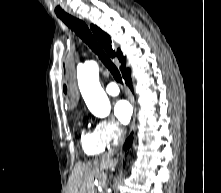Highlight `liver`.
I'll return each mask as SVG.
<instances>
[{"label":"liver","mask_w":221,"mask_h":193,"mask_svg":"<svg viewBox=\"0 0 221 193\" xmlns=\"http://www.w3.org/2000/svg\"><path fill=\"white\" fill-rule=\"evenodd\" d=\"M112 156V153H108L92 163L76 164L69 177L66 193H94L93 179L95 174L107 169L113 170L116 166L117 162Z\"/></svg>","instance_id":"obj_1"}]
</instances>
